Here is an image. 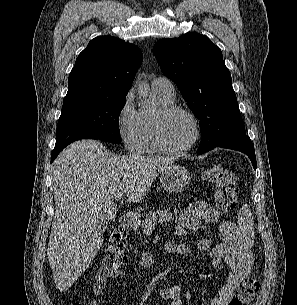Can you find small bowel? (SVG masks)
Returning a JSON list of instances; mask_svg holds the SVG:
<instances>
[{
  "label": "small bowel",
  "mask_w": 297,
  "mask_h": 305,
  "mask_svg": "<svg viewBox=\"0 0 297 305\" xmlns=\"http://www.w3.org/2000/svg\"><path fill=\"white\" fill-rule=\"evenodd\" d=\"M202 222H219L221 239L219 243L214 244L212 237L200 239L193 246L166 242L164 250L170 254L202 252L209 259L212 268H218L222 263H225L229 268V272L218 295L211 301V305H229L237 288L251 272L254 262L253 255L236 225L228 220L220 221L219 214L204 202H194L179 211L178 234L184 236L189 230H200ZM139 263L141 267L148 269L154 264L153 256L148 252H143L140 255ZM122 274L117 265L101 269L93 285L94 298L88 305H101V297L107 286V281L109 279L118 280L122 277ZM159 296L168 301L169 305L183 304L180 285L161 288Z\"/></svg>",
  "instance_id": "1"
}]
</instances>
